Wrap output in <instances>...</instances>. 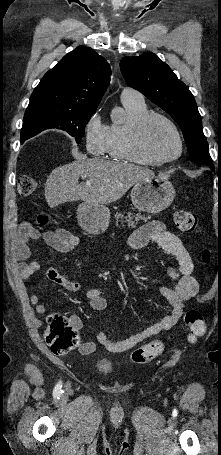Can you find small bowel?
I'll list each match as a JSON object with an SVG mask.
<instances>
[{
    "label": "small bowel",
    "mask_w": 221,
    "mask_h": 455,
    "mask_svg": "<svg viewBox=\"0 0 221 455\" xmlns=\"http://www.w3.org/2000/svg\"><path fill=\"white\" fill-rule=\"evenodd\" d=\"M43 239L51 248L58 252L68 253L73 251L79 244V238L64 228L56 230L40 231L29 223H24L19 228V241L16 246L19 271L22 279L26 280L41 269L38 262H26L30 252L27 245L29 240ZM156 244L166 252L175 256L178 266H167L166 274L174 281L173 287L160 286L161 294L167 299L170 305V312L145 330L134 334L123 340H114L108 337L104 329L97 331V341L110 352L127 351L144 340L164 331L170 330L183 316L186 302L194 298L199 291V284L193 277L194 263L183 246L180 238L158 222H152L134 232L127 241L130 249H138L147 244ZM48 280L54 282L69 292H76L80 284L74 281L69 272L59 273L55 268L49 267L45 270ZM85 297L90 300L92 309L102 312L106 309V293L100 289H88ZM30 301L35 306L36 312L45 314L47 308L41 303L39 295L31 296ZM71 322L78 330L82 327V321L78 316H72ZM96 348L93 342H83L79 346L82 354H90Z\"/></svg>",
    "instance_id": "c3829d8e"
}]
</instances>
